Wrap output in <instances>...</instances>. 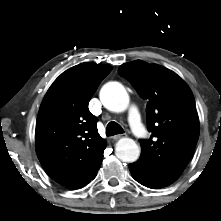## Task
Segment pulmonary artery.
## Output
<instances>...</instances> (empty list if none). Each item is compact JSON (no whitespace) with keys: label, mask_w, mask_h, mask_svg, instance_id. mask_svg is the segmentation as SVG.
I'll return each instance as SVG.
<instances>
[{"label":"pulmonary artery","mask_w":221,"mask_h":221,"mask_svg":"<svg viewBox=\"0 0 221 221\" xmlns=\"http://www.w3.org/2000/svg\"><path fill=\"white\" fill-rule=\"evenodd\" d=\"M129 120L134 134L140 138L145 135V130L140 122L139 113L136 107H132L129 112Z\"/></svg>","instance_id":"obj_1"}]
</instances>
